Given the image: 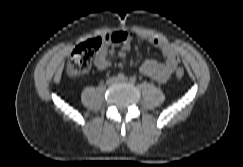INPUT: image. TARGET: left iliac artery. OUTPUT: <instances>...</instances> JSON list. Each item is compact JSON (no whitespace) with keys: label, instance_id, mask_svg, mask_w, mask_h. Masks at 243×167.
I'll return each mask as SVG.
<instances>
[{"label":"left iliac artery","instance_id":"obj_1","mask_svg":"<svg viewBox=\"0 0 243 167\" xmlns=\"http://www.w3.org/2000/svg\"><path fill=\"white\" fill-rule=\"evenodd\" d=\"M130 81H131V83H135L136 82V78L135 77H131Z\"/></svg>","mask_w":243,"mask_h":167}]
</instances>
